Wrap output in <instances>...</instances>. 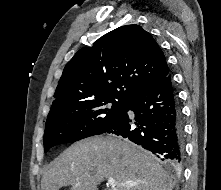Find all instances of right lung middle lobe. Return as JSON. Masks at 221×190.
Listing matches in <instances>:
<instances>
[{
    "label": "right lung middle lobe",
    "mask_w": 221,
    "mask_h": 190,
    "mask_svg": "<svg viewBox=\"0 0 221 190\" xmlns=\"http://www.w3.org/2000/svg\"><path fill=\"white\" fill-rule=\"evenodd\" d=\"M125 103L126 100L107 97L51 110L45 126V152L55 145L110 130L122 118Z\"/></svg>",
    "instance_id": "obj_1"
}]
</instances>
